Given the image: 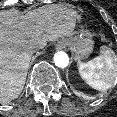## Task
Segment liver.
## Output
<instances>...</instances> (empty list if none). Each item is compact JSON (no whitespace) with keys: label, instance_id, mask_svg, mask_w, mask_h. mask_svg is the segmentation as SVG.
<instances>
[{"label":"liver","instance_id":"1","mask_svg":"<svg viewBox=\"0 0 117 117\" xmlns=\"http://www.w3.org/2000/svg\"><path fill=\"white\" fill-rule=\"evenodd\" d=\"M79 14L59 4L22 15L0 11V103L16 99L23 90L33 53L47 42L73 35Z\"/></svg>","mask_w":117,"mask_h":117}]
</instances>
